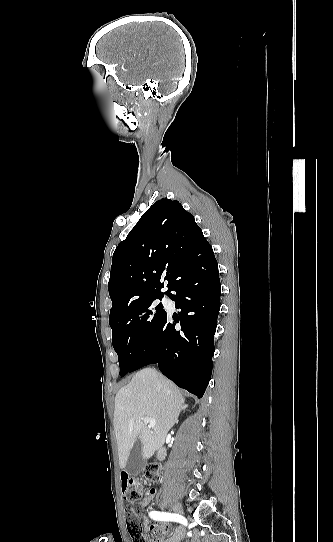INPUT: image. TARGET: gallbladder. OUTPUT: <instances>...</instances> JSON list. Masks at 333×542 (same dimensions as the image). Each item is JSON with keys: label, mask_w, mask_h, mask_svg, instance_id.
Returning <instances> with one entry per match:
<instances>
[{"label": "gallbladder", "mask_w": 333, "mask_h": 542, "mask_svg": "<svg viewBox=\"0 0 333 542\" xmlns=\"http://www.w3.org/2000/svg\"><path fill=\"white\" fill-rule=\"evenodd\" d=\"M142 454L143 446L141 444V440L138 438L129 454L128 462L125 468L129 476H138V474L142 472L144 466H146V460H144Z\"/></svg>", "instance_id": "gallbladder-1"}]
</instances>
